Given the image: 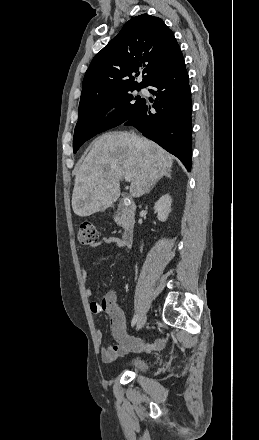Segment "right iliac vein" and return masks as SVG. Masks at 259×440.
I'll return each instance as SVG.
<instances>
[{
    "instance_id": "1",
    "label": "right iliac vein",
    "mask_w": 259,
    "mask_h": 440,
    "mask_svg": "<svg viewBox=\"0 0 259 440\" xmlns=\"http://www.w3.org/2000/svg\"><path fill=\"white\" fill-rule=\"evenodd\" d=\"M146 318L147 317H146L145 313H142L140 315V317L138 318V321H137V330H140L144 326V324L146 322Z\"/></svg>"
}]
</instances>
